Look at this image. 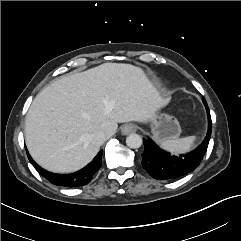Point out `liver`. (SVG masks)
<instances>
[{
  "mask_svg": "<svg viewBox=\"0 0 241 241\" xmlns=\"http://www.w3.org/2000/svg\"><path fill=\"white\" fill-rule=\"evenodd\" d=\"M163 105L141 68L105 63L63 76L35 97L26 115V145L44 169L75 172L99 151L92 133L110 138L118 123H147Z\"/></svg>",
  "mask_w": 241,
  "mask_h": 241,
  "instance_id": "obj_1",
  "label": "liver"
}]
</instances>
